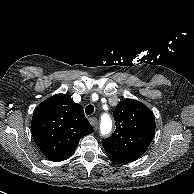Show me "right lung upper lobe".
<instances>
[{"label":"right lung upper lobe","instance_id":"right-lung-upper-lobe-1","mask_svg":"<svg viewBox=\"0 0 194 194\" xmlns=\"http://www.w3.org/2000/svg\"><path fill=\"white\" fill-rule=\"evenodd\" d=\"M93 132L81 105L67 94L54 95L33 112L31 133L37 147L51 161L70 158L85 135Z\"/></svg>","mask_w":194,"mask_h":194}]
</instances>
